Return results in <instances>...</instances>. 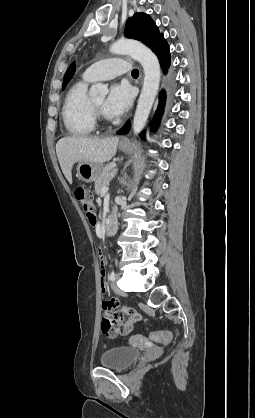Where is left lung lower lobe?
<instances>
[{"label":"left lung lower lobe","instance_id":"0a47b994","mask_svg":"<svg viewBox=\"0 0 255 418\" xmlns=\"http://www.w3.org/2000/svg\"><path fill=\"white\" fill-rule=\"evenodd\" d=\"M155 54L159 58L161 68L166 73L169 66H170V60L171 55L169 51V46L166 41H164L155 51ZM165 101V94L164 92H161L160 94V106L155 114L154 120H153V128L155 129L159 123L160 115L162 114V108ZM130 121H127L125 125L117 132V134H126L130 130ZM142 138H144V135H141Z\"/></svg>","mask_w":255,"mask_h":418}]
</instances>
